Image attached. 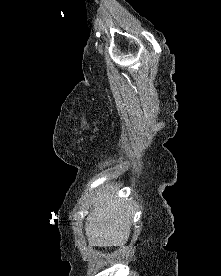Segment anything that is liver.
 <instances>
[{"mask_svg": "<svg viewBox=\"0 0 221 276\" xmlns=\"http://www.w3.org/2000/svg\"><path fill=\"white\" fill-rule=\"evenodd\" d=\"M133 215V204L128 199L117 198L115 192L103 193L86 218L85 232L89 245H124L130 236Z\"/></svg>", "mask_w": 221, "mask_h": 276, "instance_id": "1", "label": "liver"}]
</instances>
